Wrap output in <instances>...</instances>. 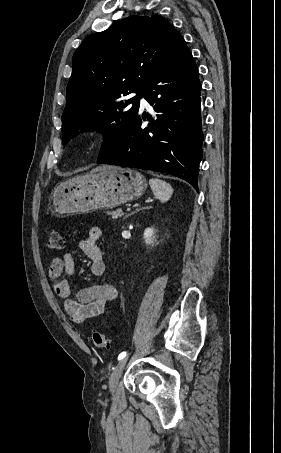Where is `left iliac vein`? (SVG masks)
I'll return each instance as SVG.
<instances>
[{
	"label": "left iliac vein",
	"instance_id": "left-iliac-vein-1",
	"mask_svg": "<svg viewBox=\"0 0 281 453\" xmlns=\"http://www.w3.org/2000/svg\"><path fill=\"white\" fill-rule=\"evenodd\" d=\"M129 358L128 357H124L122 360H120L119 363H117L116 365V368H114V370L111 372L110 374V377H109V384H108V387L109 389L112 391V390H116L118 388V380H119V375H121V373H123L124 371V368H125V364H127V360Z\"/></svg>",
	"mask_w": 281,
	"mask_h": 453
}]
</instances>
